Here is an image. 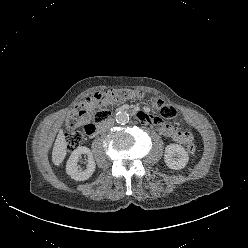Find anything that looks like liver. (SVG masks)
<instances>
[{
	"label": "liver",
	"mask_w": 248,
	"mask_h": 248,
	"mask_svg": "<svg viewBox=\"0 0 248 248\" xmlns=\"http://www.w3.org/2000/svg\"><path fill=\"white\" fill-rule=\"evenodd\" d=\"M67 152V142L65 140L63 131L60 130L55 140L52 151V162L58 166L62 163Z\"/></svg>",
	"instance_id": "obj_1"
}]
</instances>
